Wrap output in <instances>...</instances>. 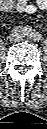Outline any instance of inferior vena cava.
Wrapping results in <instances>:
<instances>
[{"label": "inferior vena cava", "instance_id": "inferior-vena-cava-1", "mask_svg": "<svg viewBox=\"0 0 47 129\" xmlns=\"http://www.w3.org/2000/svg\"><path fill=\"white\" fill-rule=\"evenodd\" d=\"M15 40H20L22 36L20 34H13Z\"/></svg>", "mask_w": 47, "mask_h": 129}]
</instances>
